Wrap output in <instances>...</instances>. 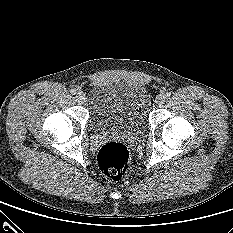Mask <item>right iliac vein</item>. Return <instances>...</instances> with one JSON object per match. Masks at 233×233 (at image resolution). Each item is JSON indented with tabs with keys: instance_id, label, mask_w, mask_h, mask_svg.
I'll use <instances>...</instances> for the list:
<instances>
[{
	"instance_id": "right-iliac-vein-1",
	"label": "right iliac vein",
	"mask_w": 233,
	"mask_h": 233,
	"mask_svg": "<svg viewBox=\"0 0 233 233\" xmlns=\"http://www.w3.org/2000/svg\"><path fill=\"white\" fill-rule=\"evenodd\" d=\"M76 97H77L78 101L81 103L85 102V100H86L85 94L81 91L77 93Z\"/></svg>"
}]
</instances>
